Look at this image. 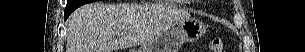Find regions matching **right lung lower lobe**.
<instances>
[{
	"mask_svg": "<svg viewBox=\"0 0 305 52\" xmlns=\"http://www.w3.org/2000/svg\"><path fill=\"white\" fill-rule=\"evenodd\" d=\"M74 11V9H71V8H65V12H64V17H65V20L68 18V16Z\"/></svg>",
	"mask_w": 305,
	"mask_h": 52,
	"instance_id": "1",
	"label": "right lung lower lobe"
}]
</instances>
